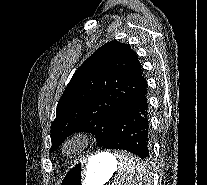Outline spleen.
<instances>
[{
	"label": "spleen",
	"mask_w": 207,
	"mask_h": 185,
	"mask_svg": "<svg viewBox=\"0 0 207 185\" xmlns=\"http://www.w3.org/2000/svg\"><path fill=\"white\" fill-rule=\"evenodd\" d=\"M118 170L115 174V182L112 185H144L146 179H152V174H148V170L141 159L136 158L137 154L133 151H118Z\"/></svg>",
	"instance_id": "obj_1"
}]
</instances>
